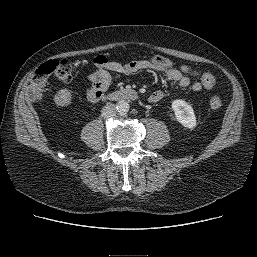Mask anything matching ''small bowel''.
Here are the masks:
<instances>
[{
	"label": "small bowel",
	"instance_id": "small-bowel-1",
	"mask_svg": "<svg viewBox=\"0 0 257 257\" xmlns=\"http://www.w3.org/2000/svg\"><path fill=\"white\" fill-rule=\"evenodd\" d=\"M95 71L89 75V81L91 85L87 89V96L91 101H98L104 95V92L108 89L111 83L110 72L117 74H133L139 71H154L163 72L166 79L173 85L180 88H190L193 91H200L203 85L200 81H191V79L184 75L177 68L162 67L154 64L150 60H136L127 64L119 62L108 61L103 56H98L94 59ZM164 98V92L156 90L152 92L148 100L150 103H158Z\"/></svg>",
	"mask_w": 257,
	"mask_h": 257
}]
</instances>
